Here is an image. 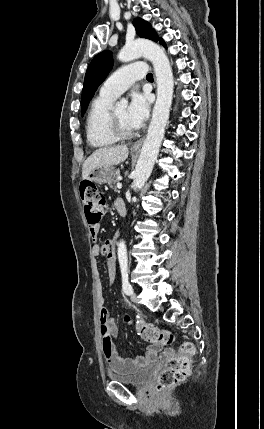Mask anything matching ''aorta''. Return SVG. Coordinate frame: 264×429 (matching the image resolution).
<instances>
[{
	"label": "aorta",
	"instance_id": "762f6f07",
	"mask_svg": "<svg viewBox=\"0 0 264 429\" xmlns=\"http://www.w3.org/2000/svg\"><path fill=\"white\" fill-rule=\"evenodd\" d=\"M139 57L149 59L153 66L157 82V99L147 136L134 171L132 188L140 190L148 180L164 138L165 127L169 119L173 98L174 79L172 68L165 51L155 42L137 39L127 43L119 52L118 59L129 62ZM128 101L121 99L119 105L127 106ZM118 261L121 269L128 266L127 248L124 241L118 243Z\"/></svg>",
	"mask_w": 264,
	"mask_h": 429
}]
</instances>
